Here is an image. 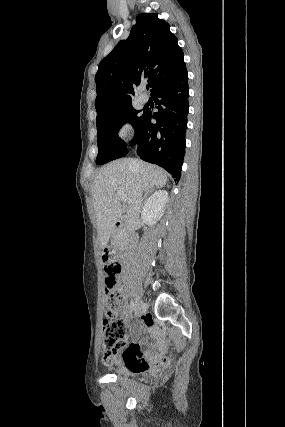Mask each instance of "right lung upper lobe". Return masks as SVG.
Wrapping results in <instances>:
<instances>
[{
    "mask_svg": "<svg viewBox=\"0 0 285 427\" xmlns=\"http://www.w3.org/2000/svg\"><path fill=\"white\" fill-rule=\"evenodd\" d=\"M169 28L157 14H140L129 37L100 62L95 76L96 124L131 106L134 86L145 78L152 94L186 71L183 51Z\"/></svg>",
    "mask_w": 285,
    "mask_h": 427,
    "instance_id": "obj_1",
    "label": "right lung upper lobe"
}]
</instances>
